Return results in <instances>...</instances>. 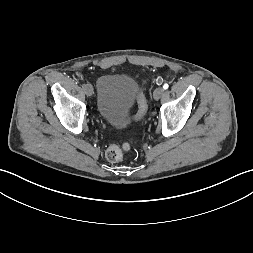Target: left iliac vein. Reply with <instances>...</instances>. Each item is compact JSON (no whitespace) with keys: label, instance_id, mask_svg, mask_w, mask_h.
<instances>
[{"label":"left iliac vein","instance_id":"left-iliac-vein-1","mask_svg":"<svg viewBox=\"0 0 253 253\" xmlns=\"http://www.w3.org/2000/svg\"><path fill=\"white\" fill-rule=\"evenodd\" d=\"M164 93V89L162 87H157L153 93L154 99L158 100Z\"/></svg>","mask_w":253,"mask_h":253}]
</instances>
